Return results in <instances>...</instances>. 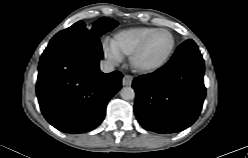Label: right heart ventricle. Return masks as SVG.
Here are the masks:
<instances>
[{
  "mask_svg": "<svg viewBox=\"0 0 248 158\" xmlns=\"http://www.w3.org/2000/svg\"><path fill=\"white\" fill-rule=\"evenodd\" d=\"M154 29L155 28L149 27H136L121 30L113 35L111 43L122 57H127L132 54L144 37Z\"/></svg>",
  "mask_w": 248,
  "mask_h": 158,
  "instance_id": "right-heart-ventricle-1",
  "label": "right heart ventricle"
}]
</instances>
